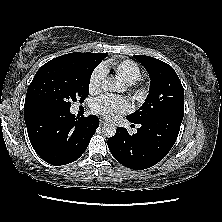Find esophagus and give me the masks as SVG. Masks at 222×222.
I'll return each mask as SVG.
<instances>
[{
  "mask_svg": "<svg viewBox=\"0 0 222 222\" xmlns=\"http://www.w3.org/2000/svg\"><path fill=\"white\" fill-rule=\"evenodd\" d=\"M107 123V121L105 120H100V125H105Z\"/></svg>",
  "mask_w": 222,
  "mask_h": 222,
  "instance_id": "esophagus-1",
  "label": "esophagus"
}]
</instances>
